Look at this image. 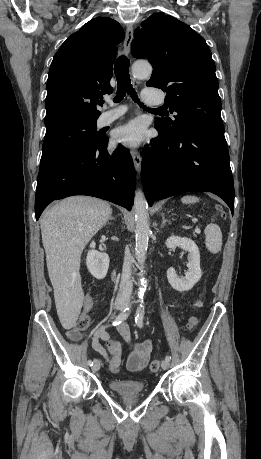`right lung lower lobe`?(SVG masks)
Here are the masks:
<instances>
[{"mask_svg":"<svg viewBox=\"0 0 261 459\" xmlns=\"http://www.w3.org/2000/svg\"><path fill=\"white\" fill-rule=\"evenodd\" d=\"M104 137L91 148L73 151L39 168L35 215L53 200L73 195H89L131 210L136 178L129 151L119 145L107 151Z\"/></svg>","mask_w":261,"mask_h":459,"instance_id":"98d812e1","label":"right lung lower lobe"}]
</instances>
